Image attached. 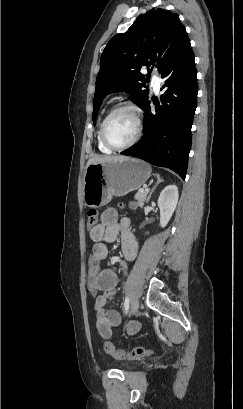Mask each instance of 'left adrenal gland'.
<instances>
[{
  "mask_svg": "<svg viewBox=\"0 0 243 409\" xmlns=\"http://www.w3.org/2000/svg\"><path fill=\"white\" fill-rule=\"evenodd\" d=\"M161 182H163V180H162L160 177L157 176V182H156V184L153 186V188L151 189V191H150V193H149V196H148V198H147V201L151 198L152 193L154 192V190L156 189V187H157Z\"/></svg>",
  "mask_w": 243,
  "mask_h": 409,
  "instance_id": "a2214340",
  "label": "left adrenal gland"
}]
</instances>
